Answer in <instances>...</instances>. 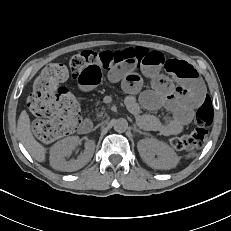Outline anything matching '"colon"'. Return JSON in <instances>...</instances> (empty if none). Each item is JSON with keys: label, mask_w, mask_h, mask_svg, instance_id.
Listing matches in <instances>:
<instances>
[{"label": "colon", "mask_w": 231, "mask_h": 231, "mask_svg": "<svg viewBox=\"0 0 231 231\" xmlns=\"http://www.w3.org/2000/svg\"><path fill=\"white\" fill-rule=\"evenodd\" d=\"M153 57L156 55L139 47L118 51H83L70 58L68 68L60 63L47 65L35 80L28 98L31 112L40 118L33 127L35 137L42 143H50L72 133L80 122L76 99L61 86L69 73L78 78L89 66L110 69L123 63L140 65ZM212 119V107L209 101H205L196 110L194 130L190 134L171 138V145L177 150L201 147L207 139Z\"/></svg>", "instance_id": "obj_1"}]
</instances>
